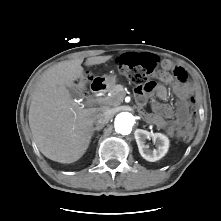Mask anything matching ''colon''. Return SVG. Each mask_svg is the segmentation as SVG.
Listing matches in <instances>:
<instances>
[{"instance_id": "colon-1", "label": "colon", "mask_w": 221, "mask_h": 221, "mask_svg": "<svg viewBox=\"0 0 221 221\" xmlns=\"http://www.w3.org/2000/svg\"><path fill=\"white\" fill-rule=\"evenodd\" d=\"M158 60L152 54H140L131 61H120L118 70L131 82L150 91L154 87L153 78L158 74ZM196 113L192 112L189 123L183 130L182 138L184 141H190L194 134Z\"/></svg>"}]
</instances>
